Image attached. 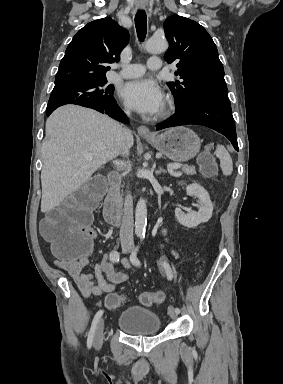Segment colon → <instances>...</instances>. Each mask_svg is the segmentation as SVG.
I'll list each match as a JSON object with an SVG mask.
<instances>
[{
  "instance_id": "colon-1",
  "label": "colon",
  "mask_w": 283,
  "mask_h": 384,
  "mask_svg": "<svg viewBox=\"0 0 283 384\" xmlns=\"http://www.w3.org/2000/svg\"><path fill=\"white\" fill-rule=\"evenodd\" d=\"M201 171L206 176H213L217 171L212 156L205 153L199 158ZM105 191L102 178H93L70 194L56 209L52 210L41 222L43 237L52 244L56 256L65 260H79L88 257L92 250L93 232L90 229L92 212ZM164 293L143 292L139 300L144 305L160 304ZM124 297L110 293L105 298L108 310L117 309Z\"/></svg>"
}]
</instances>
